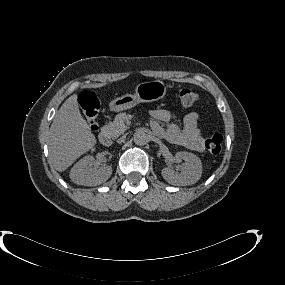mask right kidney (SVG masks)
<instances>
[{
    "mask_svg": "<svg viewBox=\"0 0 285 285\" xmlns=\"http://www.w3.org/2000/svg\"><path fill=\"white\" fill-rule=\"evenodd\" d=\"M95 158L88 155L79 160L70 171L71 180L78 185L96 186L107 181L112 174V167L108 165L93 168Z\"/></svg>",
    "mask_w": 285,
    "mask_h": 285,
    "instance_id": "obj_1",
    "label": "right kidney"
}]
</instances>
